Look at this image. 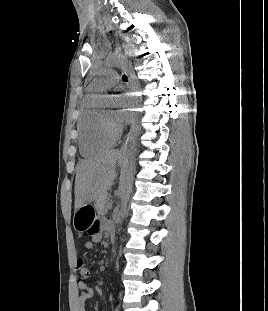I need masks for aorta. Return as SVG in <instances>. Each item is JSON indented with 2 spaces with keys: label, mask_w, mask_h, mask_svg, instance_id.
I'll list each match as a JSON object with an SVG mask.
<instances>
[{
  "label": "aorta",
  "mask_w": 268,
  "mask_h": 311,
  "mask_svg": "<svg viewBox=\"0 0 268 311\" xmlns=\"http://www.w3.org/2000/svg\"><path fill=\"white\" fill-rule=\"evenodd\" d=\"M112 67L124 68V71L129 77L131 83V110H132V132L129 138L128 150L126 153V162L122 169L119 182L120 192V207L116 214V221L119 225L126 214L127 204L132 192V184L135 170V161L138 155L139 148V135H140V124H141V110H142V80L138 79L139 74L137 72L136 65H128V59L126 56L121 54H114L110 56L103 64V69ZM110 97L107 95L99 96V102L102 104H108ZM120 230V229H119Z\"/></svg>",
  "instance_id": "aorta-1"
}]
</instances>
